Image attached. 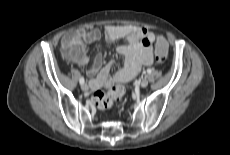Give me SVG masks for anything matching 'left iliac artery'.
<instances>
[{
	"label": "left iliac artery",
	"mask_w": 230,
	"mask_h": 155,
	"mask_svg": "<svg viewBox=\"0 0 230 155\" xmlns=\"http://www.w3.org/2000/svg\"><path fill=\"white\" fill-rule=\"evenodd\" d=\"M147 73H151V70H150V69H148V70H147Z\"/></svg>",
	"instance_id": "obj_1"
}]
</instances>
